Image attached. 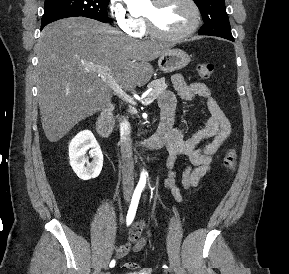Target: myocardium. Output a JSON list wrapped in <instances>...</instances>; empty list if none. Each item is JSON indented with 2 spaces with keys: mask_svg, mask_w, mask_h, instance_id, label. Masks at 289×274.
I'll return each instance as SVG.
<instances>
[{
  "mask_svg": "<svg viewBox=\"0 0 289 274\" xmlns=\"http://www.w3.org/2000/svg\"><path fill=\"white\" fill-rule=\"evenodd\" d=\"M168 1L169 0H153L152 2L156 7H158ZM185 1L190 5L193 11V21L186 30L177 34L164 33L158 29L154 20L151 17L144 15V21L149 34L157 39L165 41H181L194 34L200 25L201 11L199 5L195 0H185Z\"/></svg>",
  "mask_w": 289,
  "mask_h": 274,
  "instance_id": "1",
  "label": "myocardium"
}]
</instances>
